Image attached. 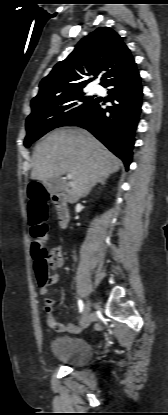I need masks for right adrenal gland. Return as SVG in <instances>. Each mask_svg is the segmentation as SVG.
<instances>
[{"label": "right adrenal gland", "instance_id": "1", "mask_svg": "<svg viewBox=\"0 0 168 415\" xmlns=\"http://www.w3.org/2000/svg\"><path fill=\"white\" fill-rule=\"evenodd\" d=\"M106 180H107V178H105V177L100 178V179L98 180V183H99V184H101V185H105V184H106ZM90 190H91V189H89V190L87 191L86 195H87V194H89Z\"/></svg>", "mask_w": 168, "mask_h": 415}]
</instances>
